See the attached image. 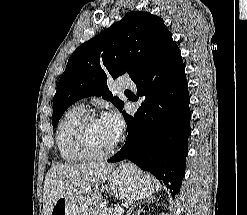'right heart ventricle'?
<instances>
[{"label":"right heart ventricle","instance_id":"e07e8e85","mask_svg":"<svg viewBox=\"0 0 247 215\" xmlns=\"http://www.w3.org/2000/svg\"><path fill=\"white\" fill-rule=\"evenodd\" d=\"M84 115V109L80 105H74L68 109L60 119L56 129V145L63 161L76 163L85 158L77 151L73 130L76 123Z\"/></svg>","mask_w":247,"mask_h":215}]
</instances>
